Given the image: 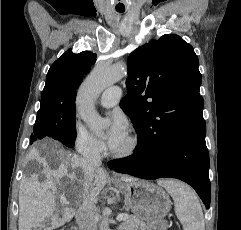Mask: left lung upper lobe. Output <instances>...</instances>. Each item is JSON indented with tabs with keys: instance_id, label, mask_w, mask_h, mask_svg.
Here are the masks:
<instances>
[{
	"instance_id": "1",
	"label": "left lung upper lobe",
	"mask_w": 241,
	"mask_h": 230,
	"mask_svg": "<svg viewBox=\"0 0 241 230\" xmlns=\"http://www.w3.org/2000/svg\"><path fill=\"white\" fill-rule=\"evenodd\" d=\"M127 96L120 107L138 139L152 143L175 134L205 136L202 81L193 47L166 34L134 50L127 60Z\"/></svg>"
}]
</instances>
